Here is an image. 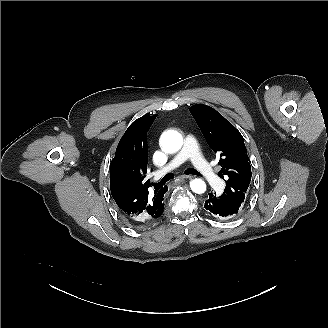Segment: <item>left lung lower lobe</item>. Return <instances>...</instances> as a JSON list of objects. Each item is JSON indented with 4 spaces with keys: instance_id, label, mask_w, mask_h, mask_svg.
<instances>
[{
    "instance_id": "1",
    "label": "left lung lower lobe",
    "mask_w": 328,
    "mask_h": 328,
    "mask_svg": "<svg viewBox=\"0 0 328 328\" xmlns=\"http://www.w3.org/2000/svg\"><path fill=\"white\" fill-rule=\"evenodd\" d=\"M204 208L209 214L220 219H229L238 213V209L222 201L212 193H209V198L205 201Z\"/></svg>"
}]
</instances>
